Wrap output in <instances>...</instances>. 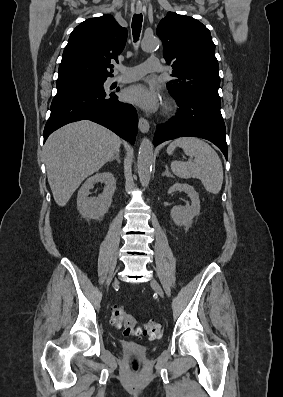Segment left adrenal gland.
<instances>
[{"label": "left adrenal gland", "instance_id": "obj_1", "mask_svg": "<svg viewBox=\"0 0 283 397\" xmlns=\"http://www.w3.org/2000/svg\"><path fill=\"white\" fill-rule=\"evenodd\" d=\"M165 172L164 173H162V176H167V177H171V178H173V175L169 172V169H168V166L167 165H165Z\"/></svg>", "mask_w": 283, "mask_h": 397}]
</instances>
